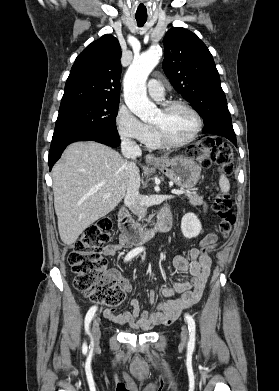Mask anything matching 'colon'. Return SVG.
<instances>
[{
  "instance_id": "obj_1",
  "label": "colon",
  "mask_w": 279,
  "mask_h": 391,
  "mask_svg": "<svg viewBox=\"0 0 279 391\" xmlns=\"http://www.w3.org/2000/svg\"><path fill=\"white\" fill-rule=\"evenodd\" d=\"M190 153L204 167L216 164L225 174L233 170V154L229 146L215 138L203 139ZM213 210L220 219L219 232L228 237L236 221L232 211V200L227 193H219L213 201ZM113 238L112 221L105 217L88 226L77 239L68 261L76 275L75 288L91 302L118 307L125 298L124 290L117 285L108 271L107 261L101 256V249ZM215 243L204 248L208 254Z\"/></svg>"
}]
</instances>
